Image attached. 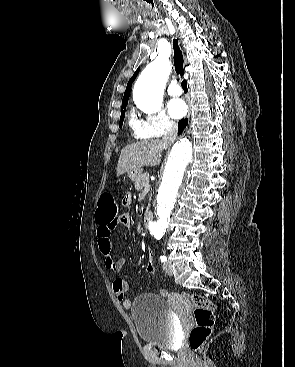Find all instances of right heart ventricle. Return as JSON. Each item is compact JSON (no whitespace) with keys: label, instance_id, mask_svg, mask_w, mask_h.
Returning <instances> with one entry per match:
<instances>
[{"label":"right heart ventricle","instance_id":"obj_1","mask_svg":"<svg viewBox=\"0 0 295 367\" xmlns=\"http://www.w3.org/2000/svg\"><path fill=\"white\" fill-rule=\"evenodd\" d=\"M133 118H134V117L132 116V117H131V122H132Z\"/></svg>","mask_w":295,"mask_h":367}]
</instances>
